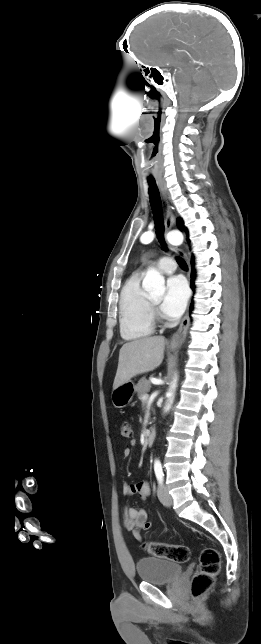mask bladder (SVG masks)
<instances>
[{
	"label": "bladder",
	"mask_w": 261,
	"mask_h": 644,
	"mask_svg": "<svg viewBox=\"0 0 261 644\" xmlns=\"http://www.w3.org/2000/svg\"><path fill=\"white\" fill-rule=\"evenodd\" d=\"M136 571L141 581L151 584H168L182 573L180 564L157 557H143L136 563Z\"/></svg>",
	"instance_id": "31cf9c89"
}]
</instances>
